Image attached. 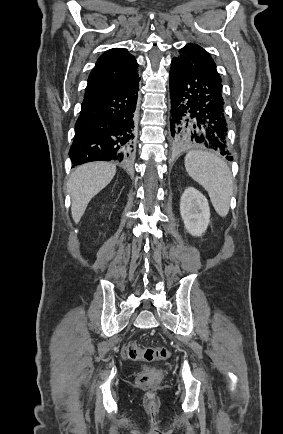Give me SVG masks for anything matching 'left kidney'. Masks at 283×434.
<instances>
[{"label": "left kidney", "instance_id": "obj_1", "mask_svg": "<svg viewBox=\"0 0 283 434\" xmlns=\"http://www.w3.org/2000/svg\"><path fill=\"white\" fill-rule=\"evenodd\" d=\"M180 214L187 232L202 236L210 222V208L201 192L193 187L185 189L180 200Z\"/></svg>", "mask_w": 283, "mask_h": 434}]
</instances>
